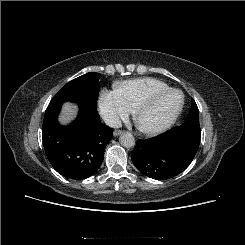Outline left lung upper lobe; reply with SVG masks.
<instances>
[{
  "instance_id": "5c2ea615",
  "label": "left lung upper lobe",
  "mask_w": 245,
  "mask_h": 245,
  "mask_svg": "<svg viewBox=\"0 0 245 245\" xmlns=\"http://www.w3.org/2000/svg\"><path fill=\"white\" fill-rule=\"evenodd\" d=\"M179 128H184L189 131L201 133L200 124H199V110L196 105V102L193 99H192V106L188 119L184 122L183 125L179 126Z\"/></svg>"
}]
</instances>
